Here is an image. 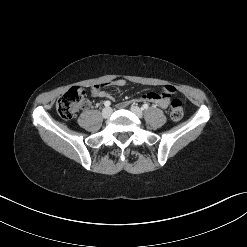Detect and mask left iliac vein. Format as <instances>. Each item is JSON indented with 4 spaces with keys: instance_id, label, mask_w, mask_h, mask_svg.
I'll return each instance as SVG.
<instances>
[{
    "instance_id": "4c4485c4",
    "label": "left iliac vein",
    "mask_w": 247,
    "mask_h": 247,
    "mask_svg": "<svg viewBox=\"0 0 247 247\" xmlns=\"http://www.w3.org/2000/svg\"><path fill=\"white\" fill-rule=\"evenodd\" d=\"M130 110L138 117L141 118L143 116V111L138 106L132 105Z\"/></svg>"
}]
</instances>
